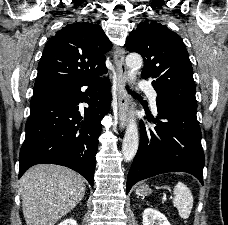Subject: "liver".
Returning a JSON list of instances; mask_svg holds the SVG:
<instances>
[{
  "label": "liver",
  "mask_w": 228,
  "mask_h": 225,
  "mask_svg": "<svg viewBox=\"0 0 228 225\" xmlns=\"http://www.w3.org/2000/svg\"><path fill=\"white\" fill-rule=\"evenodd\" d=\"M26 225H56L83 199L85 179L58 165L31 167L20 181Z\"/></svg>",
  "instance_id": "1"
}]
</instances>
